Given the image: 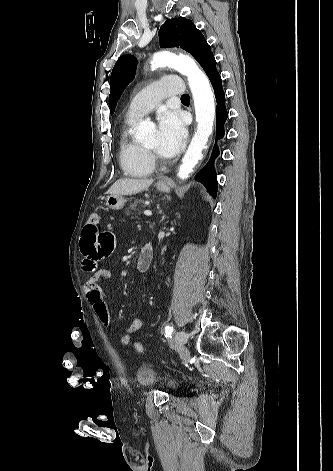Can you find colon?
<instances>
[{"mask_svg": "<svg viewBox=\"0 0 333 471\" xmlns=\"http://www.w3.org/2000/svg\"><path fill=\"white\" fill-rule=\"evenodd\" d=\"M99 221H100L99 214L96 212L91 213V215L89 216L88 222L92 225H98ZM133 348L138 353L143 352V349H144L143 344L141 342H134Z\"/></svg>", "mask_w": 333, "mask_h": 471, "instance_id": "obj_1", "label": "colon"}]
</instances>
